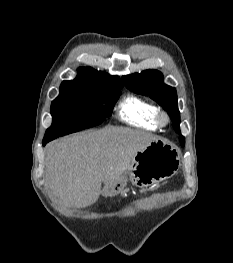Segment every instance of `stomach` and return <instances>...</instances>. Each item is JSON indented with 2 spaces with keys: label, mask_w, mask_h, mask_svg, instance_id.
Masks as SVG:
<instances>
[{
  "label": "stomach",
  "mask_w": 233,
  "mask_h": 263,
  "mask_svg": "<svg viewBox=\"0 0 233 263\" xmlns=\"http://www.w3.org/2000/svg\"><path fill=\"white\" fill-rule=\"evenodd\" d=\"M180 155L179 149L173 144L161 139L152 141L136 153L121 180L112 187L105 188L103 194H122L128 181L139 188H147L172 177L181 165Z\"/></svg>",
  "instance_id": "stomach-1"
}]
</instances>
